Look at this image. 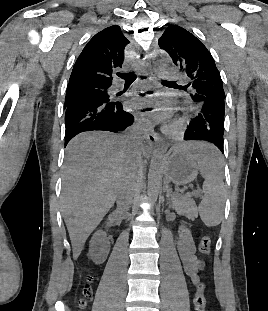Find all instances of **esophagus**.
I'll use <instances>...</instances> for the list:
<instances>
[{"label": "esophagus", "instance_id": "1", "mask_svg": "<svg viewBox=\"0 0 268 311\" xmlns=\"http://www.w3.org/2000/svg\"><path fill=\"white\" fill-rule=\"evenodd\" d=\"M142 73L146 76H148V79L151 83L156 82L157 77L155 73L148 68V62L143 59L142 61ZM137 121L139 122L140 125L143 127L144 131V137L146 139L147 144L149 147L153 148L155 144L159 141V135L154 131L153 124L150 120L145 119L141 115L137 116Z\"/></svg>", "mask_w": 268, "mask_h": 311}]
</instances>
